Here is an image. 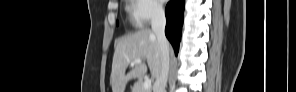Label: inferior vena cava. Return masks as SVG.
<instances>
[{
	"label": "inferior vena cava",
	"instance_id": "602c4592",
	"mask_svg": "<svg viewBox=\"0 0 296 92\" xmlns=\"http://www.w3.org/2000/svg\"><path fill=\"white\" fill-rule=\"evenodd\" d=\"M166 18L161 5L153 8L151 17L152 31L157 37L161 53V71L153 86V92H165L169 74V44L165 36Z\"/></svg>",
	"mask_w": 296,
	"mask_h": 92
}]
</instances>
